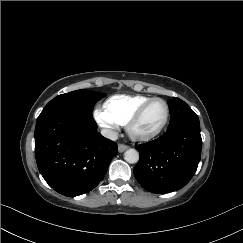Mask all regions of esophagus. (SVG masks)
Here are the masks:
<instances>
[{"mask_svg":"<svg viewBox=\"0 0 243 243\" xmlns=\"http://www.w3.org/2000/svg\"><path fill=\"white\" fill-rule=\"evenodd\" d=\"M129 147L127 145H124V144H119L118 145V151L120 153L124 152L125 150H127Z\"/></svg>","mask_w":243,"mask_h":243,"instance_id":"34e87169","label":"esophagus"}]
</instances>
